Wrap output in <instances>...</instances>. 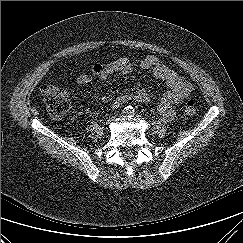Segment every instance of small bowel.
<instances>
[{"label": "small bowel", "instance_id": "1", "mask_svg": "<svg viewBox=\"0 0 243 243\" xmlns=\"http://www.w3.org/2000/svg\"><path fill=\"white\" fill-rule=\"evenodd\" d=\"M136 69L150 70L155 78L166 83L167 90L159 100L158 110L164 119L172 120L175 116L173 106L181 103L191 94L193 85L184 76L163 64L156 56L147 55L137 62L123 57L111 62L96 63L90 72L77 77V83L87 85L96 79L105 81L111 76L130 74ZM128 101L148 104L150 96L144 89L123 94L112 103L111 108L116 109Z\"/></svg>", "mask_w": 243, "mask_h": 243}]
</instances>
